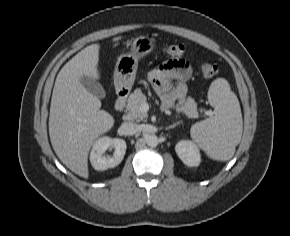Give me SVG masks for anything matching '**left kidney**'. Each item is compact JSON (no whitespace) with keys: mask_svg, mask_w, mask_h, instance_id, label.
I'll return each instance as SVG.
<instances>
[{"mask_svg":"<svg viewBox=\"0 0 290 236\" xmlns=\"http://www.w3.org/2000/svg\"><path fill=\"white\" fill-rule=\"evenodd\" d=\"M175 151L178 157L187 166H198L201 162L200 152L197 146L191 141L182 140L178 142Z\"/></svg>","mask_w":290,"mask_h":236,"instance_id":"5707ae66","label":"left kidney"}]
</instances>
